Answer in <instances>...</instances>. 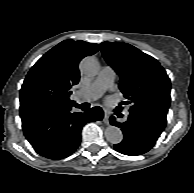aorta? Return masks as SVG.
Masks as SVG:
<instances>
[{
    "label": "aorta",
    "mask_w": 194,
    "mask_h": 193,
    "mask_svg": "<svg viewBox=\"0 0 194 193\" xmlns=\"http://www.w3.org/2000/svg\"><path fill=\"white\" fill-rule=\"evenodd\" d=\"M80 69L87 76H95L99 71V62L95 57H85L80 63ZM105 137L112 144H118L123 139V133L120 128L109 125L105 129Z\"/></svg>",
    "instance_id": "1"
}]
</instances>
